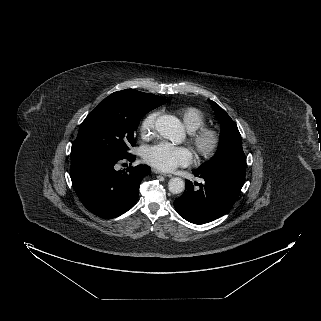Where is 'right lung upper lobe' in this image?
<instances>
[{
	"label": "right lung upper lobe",
	"mask_w": 321,
	"mask_h": 321,
	"mask_svg": "<svg viewBox=\"0 0 321 321\" xmlns=\"http://www.w3.org/2000/svg\"><path fill=\"white\" fill-rule=\"evenodd\" d=\"M133 90V89H132ZM139 92V91H138ZM141 93H143V92H141ZM143 94H145L147 97H149V98H153V99H162L161 97H159V96H156V95H153V94H148V93H143Z\"/></svg>",
	"instance_id": "right-lung-upper-lobe-1"
}]
</instances>
